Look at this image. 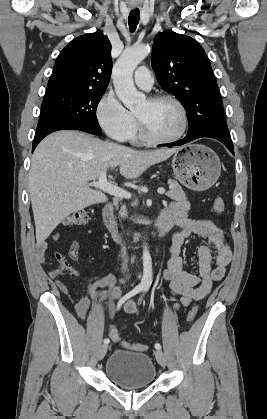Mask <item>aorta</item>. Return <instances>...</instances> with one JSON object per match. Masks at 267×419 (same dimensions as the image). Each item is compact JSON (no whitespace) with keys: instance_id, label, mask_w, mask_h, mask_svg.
I'll use <instances>...</instances> for the list:
<instances>
[{"instance_id":"1","label":"aorta","mask_w":267,"mask_h":419,"mask_svg":"<svg viewBox=\"0 0 267 419\" xmlns=\"http://www.w3.org/2000/svg\"><path fill=\"white\" fill-rule=\"evenodd\" d=\"M146 45L133 46L123 51L113 67V83L118 98L125 107L136 109L145 102V95L134 86L133 72L149 54ZM143 276L140 285L149 288L152 284V259L146 245L143 246Z\"/></svg>"}]
</instances>
